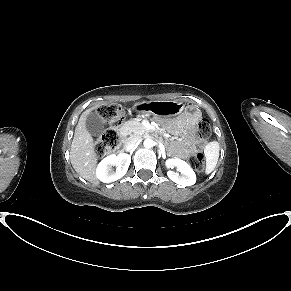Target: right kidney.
Listing matches in <instances>:
<instances>
[{
	"label": "right kidney",
	"mask_w": 291,
	"mask_h": 291,
	"mask_svg": "<svg viewBox=\"0 0 291 291\" xmlns=\"http://www.w3.org/2000/svg\"><path fill=\"white\" fill-rule=\"evenodd\" d=\"M131 163V156L126 153L112 154L104 158L96 168V177L104 183H111L122 178ZM116 166V171H112Z\"/></svg>",
	"instance_id": "ca27d5eb"
}]
</instances>
